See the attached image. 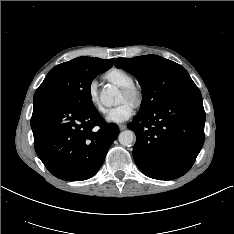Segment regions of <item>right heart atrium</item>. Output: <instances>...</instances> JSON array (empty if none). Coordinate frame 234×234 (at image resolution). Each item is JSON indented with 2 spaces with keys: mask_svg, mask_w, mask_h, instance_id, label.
<instances>
[{
  "mask_svg": "<svg viewBox=\"0 0 234 234\" xmlns=\"http://www.w3.org/2000/svg\"><path fill=\"white\" fill-rule=\"evenodd\" d=\"M87 96L90 104L96 108L99 112L103 113L105 111L102 106L97 90V84L95 81H92L87 88Z\"/></svg>",
  "mask_w": 234,
  "mask_h": 234,
  "instance_id": "1",
  "label": "right heart atrium"
}]
</instances>
